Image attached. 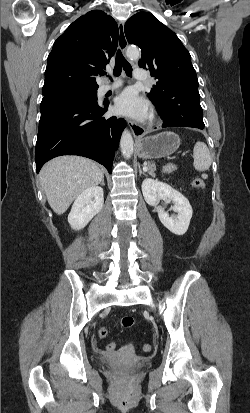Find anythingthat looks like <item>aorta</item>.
Wrapping results in <instances>:
<instances>
[{
	"label": "aorta",
	"instance_id": "762f6f07",
	"mask_svg": "<svg viewBox=\"0 0 250 413\" xmlns=\"http://www.w3.org/2000/svg\"><path fill=\"white\" fill-rule=\"evenodd\" d=\"M126 55L128 58L136 60L140 56V51L136 47H128ZM120 148L125 158L129 159L132 156L134 151V142L130 131L127 129H125L122 133L120 140Z\"/></svg>",
	"mask_w": 250,
	"mask_h": 413
}]
</instances>
